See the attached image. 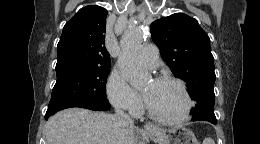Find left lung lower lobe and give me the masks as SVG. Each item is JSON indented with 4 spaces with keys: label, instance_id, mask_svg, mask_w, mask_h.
Wrapping results in <instances>:
<instances>
[{
    "label": "left lung lower lobe",
    "instance_id": "obj_1",
    "mask_svg": "<svg viewBox=\"0 0 260 144\" xmlns=\"http://www.w3.org/2000/svg\"><path fill=\"white\" fill-rule=\"evenodd\" d=\"M209 122L213 123V124H216L217 123V120L216 119H213V120H208Z\"/></svg>",
    "mask_w": 260,
    "mask_h": 144
}]
</instances>
